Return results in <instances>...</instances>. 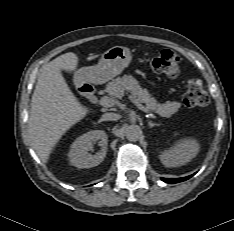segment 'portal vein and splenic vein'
<instances>
[{"instance_id":"portal-vein-and-splenic-vein-1","label":"portal vein and splenic vein","mask_w":234,"mask_h":231,"mask_svg":"<svg viewBox=\"0 0 234 231\" xmlns=\"http://www.w3.org/2000/svg\"><path fill=\"white\" fill-rule=\"evenodd\" d=\"M128 99L135 104V106H137L138 109L149 113V115L151 117H154V114H152L146 107H144L140 102H138L134 97H132L131 95H128ZM100 105H102L103 107H111L114 104V100L110 99L109 97H102L100 99Z\"/></svg>"}]
</instances>
